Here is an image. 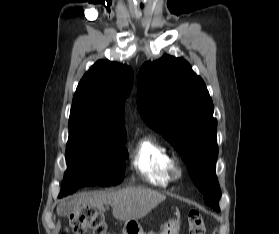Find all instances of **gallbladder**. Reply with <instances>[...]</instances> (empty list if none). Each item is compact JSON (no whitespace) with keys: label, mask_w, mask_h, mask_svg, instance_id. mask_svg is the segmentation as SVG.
Listing matches in <instances>:
<instances>
[{"label":"gallbladder","mask_w":279,"mask_h":234,"mask_svg":"<svg viewBox=\"0 0 279 234\" xmlns=\"http://www.w3.org/2000/svg\"><path fill=\"white\" fill-rule=\"evenodd\" d=\"M64 205V206H63ZM61 206L63 207H60L59 211H60V214L62 216H68L70 215L72 212H74L78 206H72V205H66V204H63Z\"/></svg>","instance_id":"gallbladder-1"}]
</instances>
